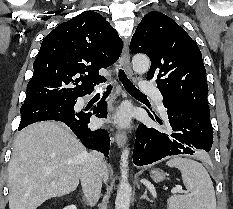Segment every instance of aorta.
Segmentation results:
<instances>
[{
  "instance_id": "obj_1",
  "label": "aorta",
  "mask_w": 233,
  "mask_h": 209,
  "mask_svg": "<svg viewBox=\"0 0 233 209\" xmlns=\"http://www.w3.org/2000/svg\"><path fill=\"white\" fill-rule=\"evenodd\" d=\"M133 70L138 74L147 73L150 68V59L143 54H137L132 58ZM128 157L129 148H125L121 155L120 169L121 182L119 184L115 209H129L132 188L128 182Z\"/></svg>"
}]
</instances>
